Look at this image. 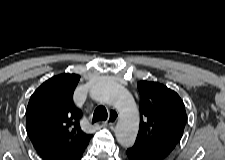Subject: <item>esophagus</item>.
<instances>
[{"mask_svg": "<svg viewBox=\"0 0 225 160\" xmlns=\"http://www.w3.org/2000/svg\"><path fill=\"white\" fill-rule=\"evenodd\" d=\"M118 116L119 115H118V112L116 110H111L110 111L109 121L105 122L104 126L112 127L116 123V121L118 119Z\"/></svg>", "mask_w": 225, "mask_h": 160, "instance_id": "obj_1", "label": "esophagus"}]
</instances>
